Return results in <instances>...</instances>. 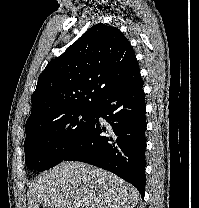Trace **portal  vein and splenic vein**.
<instances>
[{
	"mask_svg": "<svg viewBox=\"0 0 199 208\" xmlns=\"http://www.w3.org/2000/svg\"><path fill=\"white\" fill-rule=\"evenodd\" d=\"M75 207H76V208H79V207H80V204H79V203H76V204H75Z\"/></svg>",
	"mask_w": 199,
	"mask_h": 208,
	"instance_id": "obj_1",
	"label": "portal vein and splenic vein"
}]
</instances>
